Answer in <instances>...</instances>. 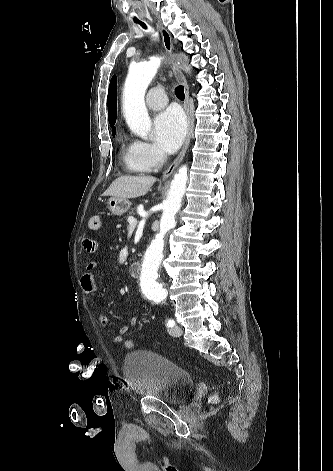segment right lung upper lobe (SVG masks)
<instances>
[{
  "mask_svg": "<svg viewBox=\"0 0 333 471\" xmlns=\"http://www.w3.org/2000/svg\"><path fill=\"white\" fill-rule=\"evenodd\" d=\"M108 118L111 127L114 126L116 122L117 114V85H116V76H113L108 90ZM115 130V127L112 128V132Z\"/></svg>",
  "mask_w": 333,
  "mask_h": 471,
  "instance_id": "1",
  "label": "right lung upper lobe"
}]
</instances>
